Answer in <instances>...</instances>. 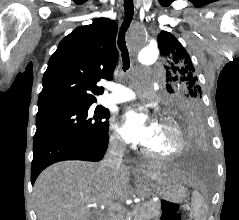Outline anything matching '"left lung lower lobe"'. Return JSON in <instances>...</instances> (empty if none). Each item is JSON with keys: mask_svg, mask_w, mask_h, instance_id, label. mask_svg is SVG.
<instances>
[{"mask_svg": "<svg viewBox=\"0 0 239 220\" xmlns=\"http://www.w3.org/2000/svg\"><path fill=\"white\" fill-rule=\"evenodd\" d=\"M175 119L181 125L187 141L185 163L203 166L207 162L208 139L205 132L203 109L187 108L179 112Z\"/></svg>", "mask_w": 239, "mask_h": 220, "instance_id": "1", "label": "left lung lower lobe"}]
</instances>
